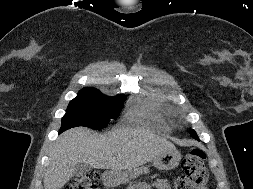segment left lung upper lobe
<instances>
[{
  "label": "left lung upper lobe",
  "mask_w": 253,
  "mask_h": 189,
  "mask_svg": "<svg viewBox=\"0 0 253 189\" xmlns=\"http://www.w3.org/2000/svg\"><path fill=\"white\" fill-rule=\"evenodd\" d=\"M191 135H197L196 132L194 130H191L190 132Z\"/></svg>",
  "instance_id": "obj_1"
}]
</instances>
